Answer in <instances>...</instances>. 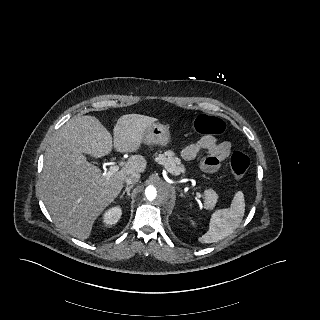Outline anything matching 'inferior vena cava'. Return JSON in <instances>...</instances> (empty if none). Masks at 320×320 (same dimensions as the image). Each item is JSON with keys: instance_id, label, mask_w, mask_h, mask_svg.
Here are the masks:
<instances>
[{"instance_id": "inferior-vena-cava-1", "label": "inferior vena cava", "mask_w": 320, "mask_h": 320, "mask_svg": "<svg viewBox=\"0 0 320 320\" xmlns=\"http://www.w3.org/2000/svg\"><path fill=\"white\" fill-rule=\"evenodd\" d=\"M139 178H140V174L139 173H132L130 175H128L126 178H125V183L127 185H130V184H135L139 181Z\"/></svg>"}]
</instances>
